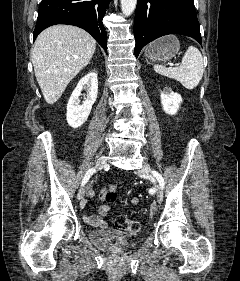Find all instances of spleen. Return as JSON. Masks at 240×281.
<instances>
[{
    "instance_id": "3e777b00",
    "label": "spleen",
    "mask_w": 240,
    "mask_h": 281,
    "mask_svg": "<svg viewBox=\"0 0 240 281\" xmlns=\"http://www.w3.org/2000/svg\"><path fill=\"white\" fill-rule=\"evenodd\" d=\"M154 70L160 75L177 80L186 89L192 90L198 86L203 77V57L196 47L189 46L178 67L154 65Z\"/></svg>"
}]
</instances>
